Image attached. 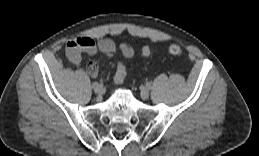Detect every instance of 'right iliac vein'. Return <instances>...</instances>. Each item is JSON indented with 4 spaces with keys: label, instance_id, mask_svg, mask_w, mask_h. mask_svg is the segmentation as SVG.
I'll return each instance as SVG.
<instances>
[{
    "label": "right iliac vein",
    "instance_id": "63e3f726",
    "mask_svg": "<svg viewBox=\"0 0 259 156\" xmlns=\"http://www.w3.org/2000/svg\"><path fill=\"white\" fill-rule=\"evenodd\" d=\"M94 92L98 95H101L103 93V88L101 85H98L97 87L94 88Z\"/></svg>",
    "mask_w": 259,
    "mask_h": 156
}]
</instances>
